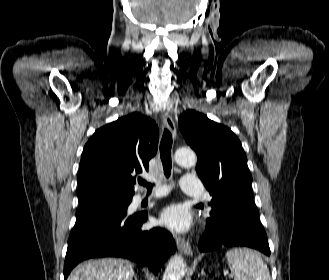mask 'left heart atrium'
Returning a JSON list of instances; mask_svg holds the SVG:
<instances>
[{
	"instance_id": "left-heart-atrium-1",
	"label": "left heart atrium",
	"mask_w": 329,
	"mask_h": 280,
	"mask_svg": "<svg viewBox=\"0 0 329 280\" xmlns=\"http://www.w3.org/2000/svg\"><path fill=\"white\" fill-rule=\"evenodd\" d=\"M160 222L170 229L184 232L188 230L190 226V217L183 207L171 205L161 213Z\"/></svg>"
}]
</instances>
